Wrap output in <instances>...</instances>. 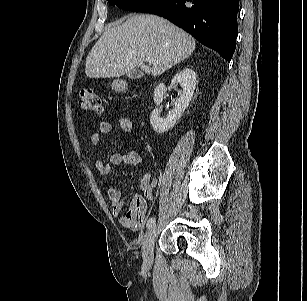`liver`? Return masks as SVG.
I'll use <instances>...</instances> for the list:
<instances>
[{"instance_id":"6515ba94","label":"liver","mask_w":307,"mask_h":301,"mask_svg":"<svg viewBox=\"0 0 307 301\" xmlns=\"http://www.w3.org/2000/svg\"><path fill=\"white\" fill-rule=\"evenodd\" d=\"M195 50V39L155 15H134L108 28L89 52L85 73L89 78L120 77L140 67L148 75L159 76ZM150 57L153 66L143 64Z\"/></svg>"}]
</instances>
